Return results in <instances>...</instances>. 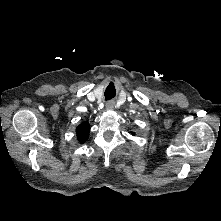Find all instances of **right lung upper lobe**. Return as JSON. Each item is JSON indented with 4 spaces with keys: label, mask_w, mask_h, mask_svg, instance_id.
I'll return each mask as SVG.
<instances>
[{
    "label": "right lung upper lobe",
    "mask_w": 221,
    "mask_h": 221,
    "mask_svg": "<svg viewBox=\"0 0 221 221\" xmlns=\"http://www.w3.org/2000/svg\"><path fill=\"white\" fill-rule=\"evenodd\" d=\"M89 130L90 127L88 122H84L76 128L77 138L80 141V143H84L87 141L89 136Z\"/></svg>",
    "instance_id": "1"
}]
</instances>
